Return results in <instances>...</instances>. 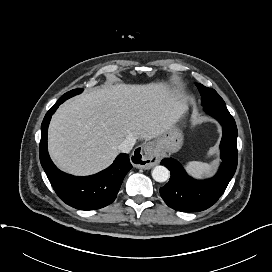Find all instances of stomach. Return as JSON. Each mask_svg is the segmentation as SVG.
I'll return each instance as SVG.
<instances>
[{"mask_svg": "<svg viewBox=\"0 0 272 272\" xmlns=\"http://www.w3.org/2000/svg\"><path fill=\"white\" fill-rule=\"evenodd\" d=\"M183 138L182 131L174 126L161 136L155 138V140L152 141V144L154 145L155 151L158 153H175L182 147Z\"/></svg>", "mask_w": 272, "mask_h": 272, "instance_id": "1", "label": "stomach"}]
</instances>
